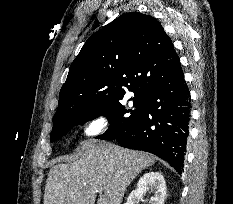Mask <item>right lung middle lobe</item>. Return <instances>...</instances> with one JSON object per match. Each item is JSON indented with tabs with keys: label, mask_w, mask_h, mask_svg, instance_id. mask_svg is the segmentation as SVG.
Wrapping results in <instances>:
<instances>
[{
	"label": "right lung middle lobe",
	"mask_w": 233,
	"mask_h": 204,
	"mask_svg": "<svg viewBox=\"0 0 233 204\" xmlns=\"http://www.w3.org/2000/svg\"><path fill=\"white\" fill-rule=\"evenodd\" d=\"M120 100H122V98L108 101L95 108L76 112L60 122L53 123L50 141L54 142L58 140L76 124H82L100 115L106 116L111 125L104 134L98 137L99 139L109 140L127 130L143 112L145 96H136L130 99L133 101V107H135V109L132 110H126L120 103Z\"/></svg>",
	"instance_id": "1"
}]
</instances>
